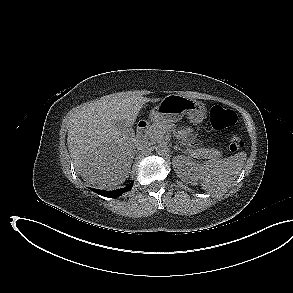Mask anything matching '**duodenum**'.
<instances>
[{"label": "duodenum", "instance_id": "410a0bca", "mask_svg": "<svg viewBox=\"0 0 293 293\" xmlns=\"http://www.w3.org/2000/svg\"><path fill=\"white\" fill-rule=\"evenodd\" d=\"M148 129V123L146 121H140L137 125V138L142 139Z\"/></svg>", "mask_w": 293, "mask_h": 293}]
</instances>
